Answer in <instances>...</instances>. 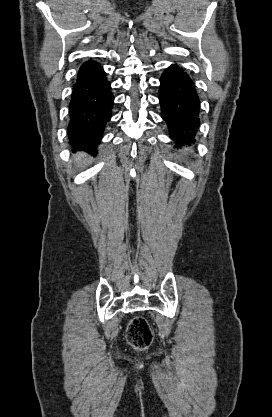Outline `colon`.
<instances>
[{"mask_svg": "<svg viewBox=\"0 0 272 417\" xmlns=\"http://www.w3.org/2000/svg\"><path fill=\"white\" fill-rule=\"evenodd\" d=\"M128 342L135 348L145 349L153 340V332L148 321L141 316L134 317L126 330Z\"/></svg>", "mask_w": 272, "mask_h": 417, "instance_id": "obj_1", "label": "colon"}]
</instances>
